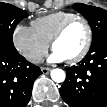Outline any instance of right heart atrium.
I'll use <instances>...</instances> for the list:
<instances>
[{
  "instance_id": "right-heart-atrium-1",
  "label": "right heart atrium",
  "mask_w": 107,
  "mask_h": 107,
  "mask_svg": "<svg viewBox=\"0 0 107 107\" xmlns=\"http://www.w3.org/2000/svg\"><path fill=\"white\" fill-rule=\"evenodd\" d=\"M12 41L17 51L31 63H39L49 48V44L43 41L32 27L24 24L15 26Z\"/></svg>"
}]
</instances>
